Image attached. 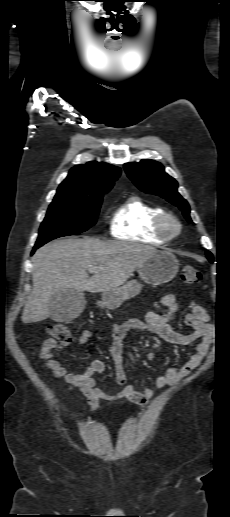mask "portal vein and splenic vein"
<instances>
[{"label":"portal vein and splenic vein","mask_w":230,"mask_h":517,"mask_svg":"<svg viewBox=\"0 0 230 517\" xmlns=\"http://www.w3.org/2000/svg\"><path fill=\"white\" fill-rule=\"evenodd\" d=\"M97 269H98V268H97V267H95V266H89V267H88V271H89L90 273H94Z\"/></svg>","instance_id":"obj_1"}]
</instances>
